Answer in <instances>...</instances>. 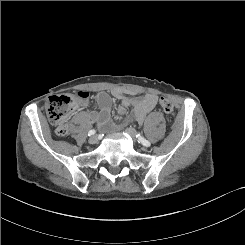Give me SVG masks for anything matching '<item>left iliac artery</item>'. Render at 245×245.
<instances>
[{"label":"left iliac artery","mask_w":245,"mask_h":245,"mask_svg":"<svg viewBox=\"0 0 245 245\" xmlns=\"http://www.w3.org/2000/svg\"><path fill=\"white\" fill-rule=\"evenodd\" d=\"M137 138H138L139 143L143 144L146 147L150 146V142L148 140L144 139L140 134L137 135Z\"/></svg>","instance_id":"1"}]
</instances>
